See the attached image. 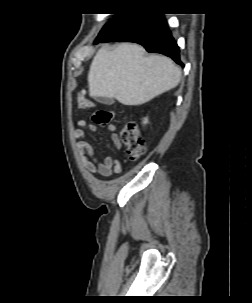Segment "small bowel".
Wrapping results in <instances>:
<instances>
[{"mask_svg":"<svg viewBox=\"0 0 252 303\" xmlns=\"http://www.w3.org/2000/svg\"><path fill=\"white\" fill-rule=\"evenodd\" d=\"M76 125L77 129L73 133V138L77 141V150L85 169L90 173L102 176H110L112 174L120 173L122 170L120 160L107 156L104 158L102 163H98L95 159L92 146L85 140L86 135L83 128L88 127L89 130L96 131V126L94 124L88 125L87 121L84 119L78 120ZM107 129L112 133L111 139L115 148L120 151L121 144L116 134V125L109 124Z\"/></svg>","mask_w":252,"mask_h":303,"instance_id":"1","label":"small bowel"}]
</instances>
